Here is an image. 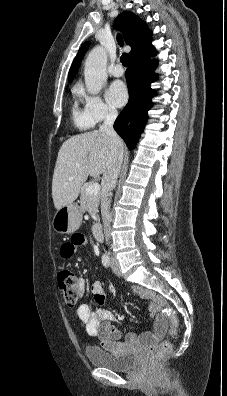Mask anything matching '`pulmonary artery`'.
I'll list each match as a JSON object with an SVG mask.
<instances>
[{
    "label": "pulmonary artery",
    "instance_id": "obj_1",
    "mask_svg": "<svg viewBox=\"0 0 227 396\" xmlns=\"http://www.w3.org/2000/svg\"><path fill=\"white\" fill-rule=\"evenodd\" d=\"M111 73L113 76L115 77H120L124 74V70L122 68L121 65H115L112 69H111Z\"/></svg>",
    "mask_w": 227,
    "mask_h": 396
}]
</instances>
